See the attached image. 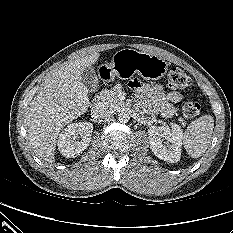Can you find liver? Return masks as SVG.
Masks as SVG:
<instances>
[{
  "label": "liver",
  "mask_w": 233,
  "mask_h": 233,
  "mask_svg": "<svg viewBox=\"0 0 233 233\" xmlns=\"http://www.w3.org/2000/svg\"><path fill=\"white\" fill-rule=\"evenodd\" d=\"M99 56L93 52L57 69L30 103L26 116L29 141L35 152L49 163L55 160L61 129L88 109V88L81 73L96 63Z\"/></svg>",
  "instance_id": "obj_1"
}]
</instances>
